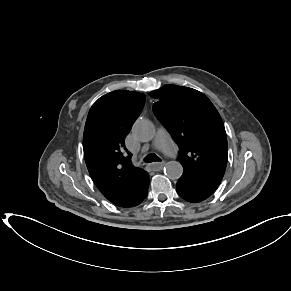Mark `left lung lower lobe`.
Returning <instances> with one entry per match:
<instances>
[{
  "instance_id": "1",
  "label": "left lung lower lobe",
  "mask_w": 291,
  "mask_h": 291,
  "mask_svg": "<svg viewBox=\"0 0 291 291\" xmlns=\"http://www.w3.org/2000/svg\"><path fill=\"white\" fill-rule=\"evenodd\" d=\"M176 191L179 194V196H181L184 200L191 203L201 202L213 194L204 191L190 184L189 182L182 180L181 178H179L176 184Z\"/></svg>"
}]
</instances>
